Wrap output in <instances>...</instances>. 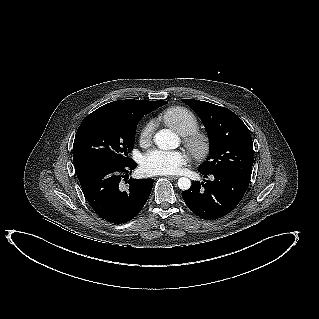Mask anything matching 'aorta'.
Listing matches in <instances>:
<instances>
[{"mask_svg":"<svg viewBox=\"0 0 319 319\" xmlns=\"http://www.w3.org/2000/svg\"><path fill=\"white\" fill-rule=\"evenodd\" d=\"M155 144L162 150L174 149L178 147V137L171 130L163 129L154 136ZM178 187L181 190H188L191 187L190 179L181 177L178 180Z\"/></svg>","mask_w":319,"mask_h":319,"instance_id":"aorta-1","label":"aorta"}]
</instances>
